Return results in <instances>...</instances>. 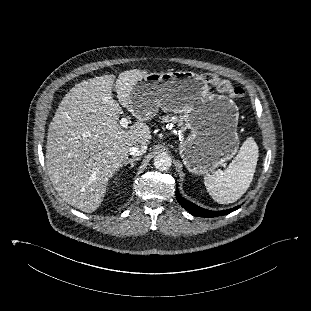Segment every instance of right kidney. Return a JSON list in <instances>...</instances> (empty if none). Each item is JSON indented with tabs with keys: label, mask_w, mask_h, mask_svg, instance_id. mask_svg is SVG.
I'll list each match as a JSON object with an SVG mask.
<instances>
[{
	"label": "right kidney",
	"mask_w": 311,
	"mask_h": 311,
	"mask_svg": "<svg viewBox=\"0 0 311 311\" xmlns=\"http://www.w3.org/2000/svg\"><path fill=\"white\" fill-rule=\"evenodd\" d=\"M119 179L118 178H115V181H113L114 183H118Z\"/></svg>",
	"instance_id": "right-kidney-1"
}]
</instances>
